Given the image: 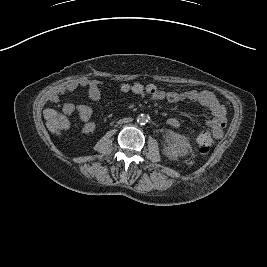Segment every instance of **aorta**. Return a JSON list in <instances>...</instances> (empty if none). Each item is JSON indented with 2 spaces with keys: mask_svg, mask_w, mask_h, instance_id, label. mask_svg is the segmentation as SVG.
Here are the masks:
<instances>
[{
  "mask_svg": "<svg viewBox=\"0 0 267 267\" xmlns=\"http://www.w3.org/2000/svg\"><path fill=\"white\" fill-rule=\"evenodd\" d=\"M148 122V116L141 114L137 117V123L140 125H145Z\"/></svg>",
  "mask_w": 267,
  "mask_h": 267,
  "instance_id": "obj_1",
  "label": "aorta"
}]
</instances>
